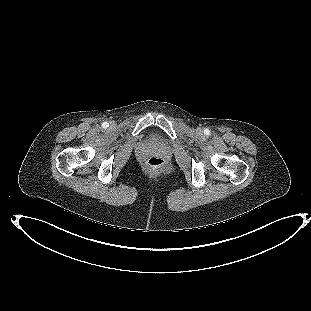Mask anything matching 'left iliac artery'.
<instances>
[{
  "label": "left iliac artery",
  "instance_id": "obj_1",
  "mask_svg": "<svg viewBox=\"0 0 311 311\" xmlns=\"http://www.w3.org/2000/svg\"><path fill=\"white\" fill-rule=\"evenodd\" d=\"M205 133L208 135L210 133L209 129H206Z\"/></svg>",
  "mask_w": 311,
  "mask_h": 311
}]
</instances>
